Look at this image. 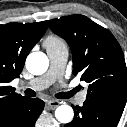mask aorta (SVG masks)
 <instances>
[{"instance_id":"obj_1","label":"aorta","mask_w":127,"mask_h":127,"mask_svg":"<svg viewBox=\"0 0 127 127\" xmlns=\"http://www.w3.org/2000/svg\"><path fill=\"white\" fill-rule=\"evenodd\" d=\"M49 59L43 52H32L26 59V68L33 75H41L46 72ZM55 117L61 123H69L74 117V111L69 105H60L55 110Z\"/></svg>"}]
</instances>
